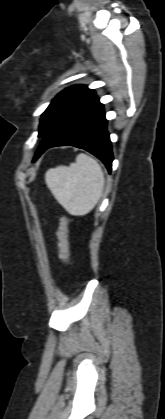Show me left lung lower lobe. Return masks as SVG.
<instances>
[{
    "label": "left lung lower lobe",
    "instance_id": "1",
    "mask_svg": "<svg viewBox=\"0 0 165 419\" xmlns=\"http://www.w3.org/2000/svg\"><path fill=\"white\" fill-rule=\"evenodd\" d=\"M103 105L95 95L65 114L43 137L34 156L36 161L47 149L74 146L99 158L111 172L113 154Z\"/></svg>",
    "mask_w": 165,
    "mask_h": 419
}]
</instances>
